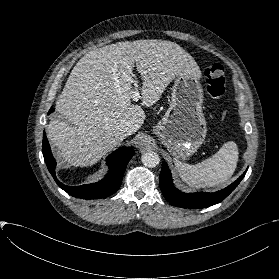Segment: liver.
Segmentation results:
<instances>
[{"instance_id":"1","label":"liver","mask_w":279,"mask_h":279,"mask_svg":"<svg viewBox=\"0 0 279 279\" xmlns=\"http://www.w3.org/2000/svg\"><path fill=\"white\" fill-rule=\"evenodd\" d=\"M141 74L142 105L152 106L175 76H201L193 57L165 40L124 41L85 54L73 68L53 118L48 139L57 154L76 167L95 164L124 140L126 127L135 133L144 123L141 106L131 103L133 68Z\"/></svg>"}]
</instances>
